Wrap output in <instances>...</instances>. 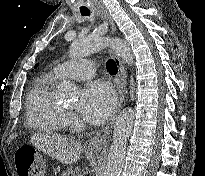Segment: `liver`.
<instances>
[{
	"instance_id": "obj_1",
	"label": "liver",
	"mask_w": 205,
	"mask_h": 176,
	"mask_svg": "<svg viewBox=\"0 0 205 176\" xmlns=\"http://www.w3.org/2000/svg\"><path fill=\"white\" fill-rule=\"evenodd\" d=\"M31 142L45 154L64 164L75 163L83 152L79 141L55 134L38 133L31 137Z\"/></svg>"
}]
</instances>
